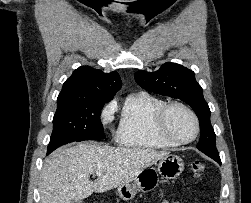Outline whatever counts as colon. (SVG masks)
I'll return each mask as SVG.
<instances>
[{
	"instance_id": "obj_1",
	"label": "colon",
	"mask_w": 251,
	"mask_h": 203,
	"mask_svg": "<svg viewBox=\"0 0 251 203\" xmlns=\"http://www.w3.org/2000/svg\"><path fill=\"white\" fill-rule=\"evenodd\" d=\"M205 164L200 160H195L191 163V169L196 177H200L205 171Z\"/></svg>"
}]
</instances>
